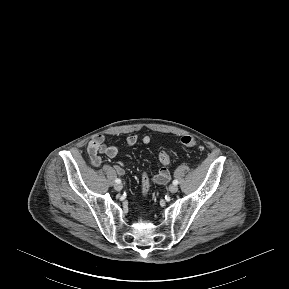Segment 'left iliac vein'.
I'll return each mask as SVG.
<instances>
[{
    "label": "left iliac vein",
    "mask_w": 289,
    "mask_h": 289,
    "mask_svg": "<svg viewBox=\"0 0 289 289\" xmlns=\"http://www.w3.org/2000/svg\"><path fill=\"white\" fill-rule=\"evenodd\" d=\"M169 191H170L171 193H176V192L178 191V186H177V185H174V184L170 185V186H169Z\"/></svg>",
    "instance_id": "4c4485c4"
}]
</instances>
